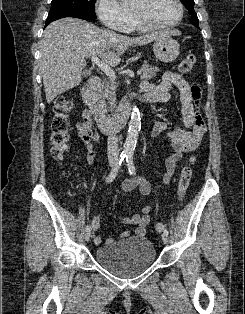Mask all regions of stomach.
Segmentation results:
<instances>
[{
  "instance_id": "1",
  "label": "stomach",
  "mask_w": 245,
  "mask_h": 314,
  "mask_svg": "<svg viewBox=\"0 0 245 314\" xmlns=\"http://www.w3.org/2000/svg\"><path fill=\"white\" fill-rule=\"evenodd\" d=\"M153 52L158 60L164 63H170L178 57L180 53V45L176 40L169 36L160 37L154 42Z\"/></svg>"
}]
</instances>
